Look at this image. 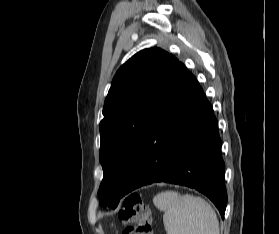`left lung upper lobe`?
Wrapping results in <instances>:
<instances>
[{"label": "left lung upper lobe", "instance_id": "1", "mask_svg": "<svg viewBox=\"0 0 279 234\" xmlns=\"http://www.w3.org/2000/svg\"><path fill=\"white\" fill-rule=\"evenodd\" d=\"M180 62L160 48L144 49L115 74L100 122L104 177L98 196L116 208L153 115Z\"/></svg>", "mask_w": 279, "mask_h": 234}]
</instances>
